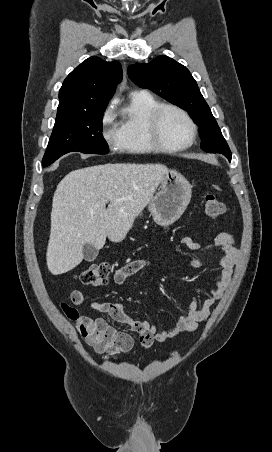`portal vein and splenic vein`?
Returning a JSON list of instances; mask_svg holds the SVG:
<instances>
[{"mask_svg": "<svg viewBox=\"0 0 272 452\" xmlns=\"http://www.w3.org/2000/svg\"><path fill=\"white\" fill-rule=\"evenodd\" d=\"M115 200H117V201H120V199H119V198H117V199H115Z\"/></svg>", "mask_w": 272, "mask_h": 452, "instance_id": "portal-vein-and-splenic-vein-1", "label": "portal vein and splenic vein"}]
</instances>
